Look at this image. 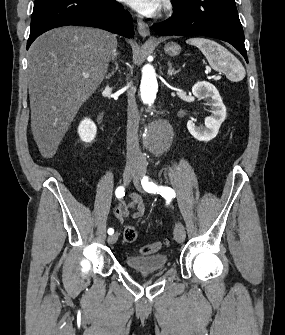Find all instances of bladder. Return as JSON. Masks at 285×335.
<instances>
[{"label":"bladder","instance_id":"1","mask_svg":"<svg viewBox=\"0 0 285 335\" xmlns=\"http://www.w3.org/2000/svg\"><path fill=\"white\" fill-rule=\"evenodd\" d=\"M165 258H170L165 251L142 256L127 253L126 265H133L132 273L159 272L158 267L165 265Z\"/></svg>","mask_w":285,"mask_h":335}]
</instances>
